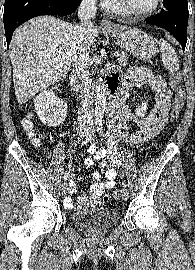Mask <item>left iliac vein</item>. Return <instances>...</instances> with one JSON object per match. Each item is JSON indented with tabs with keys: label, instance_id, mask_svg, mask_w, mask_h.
I'll return each mask as SVG.
<instances>
[{
	"label": "left iliac vein",
	"instance_id": "4c4485c4",
	"mask_svg": "<svg viewBox=\"0 0 195 270\" xmlns=\"http://www.w3.org/2000/svg\"><path fill=\"white\" fill-rule=\"evenodd\" d=\"M121 195H122V198L124 200H127V198H128L129 195H128V191H127V189L125 187L122 188Z\"/></svg>",
	"mask_w": 195,
	"mask_h": 270
}]
</instances>
